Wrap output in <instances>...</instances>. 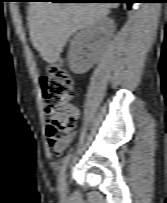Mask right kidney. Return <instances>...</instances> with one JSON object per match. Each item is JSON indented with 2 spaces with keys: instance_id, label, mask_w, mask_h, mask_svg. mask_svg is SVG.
Wrapping results in <instances>:
<instances>
[{
  "instance_id": "1",
  "label": "right kidney",
  "mask_w": 167,
  "mask_h": 203,
  "mask_svg": "<svg viewBox=\"0 0 167 203\" xmlns=\"http://www.w3.org/2000/svg\"><path fill=\"white\" fill-rule=\"evenodd\" d=\"M114 30V21L109 17H104L92 26L78 32L71 42L68 53L71 71L75 74L87 72L97 61ZM96 36H99L100 39L93 41Z\"/></svg>"
}]
</instances>
